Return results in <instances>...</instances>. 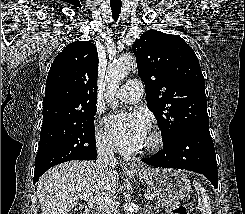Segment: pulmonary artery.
Returning a JSON list of instances; mask_svg holds the SVG:
<instances>
[{
	"mask_svg": "<svg viewBox=\"0 0 245 214\" xmlns=\"http://www.w3.org/2000/svg\"><path fill=\"white\" fill-rule=\"evenodd\" d=\"M143 90V83L140 80L132 79L118 90L117 97L126 103H137L143 95Z\"/></svg>",
	"mask_w": 245,
	"mask_h": 214,
	"instance_id": "1",
	"label": "pulmonary artery"
}]
</instances>
